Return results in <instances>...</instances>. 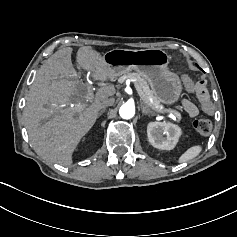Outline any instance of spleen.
<instances>
[{"instance_id": "spleen-1", "label": "spleen", "mask_w": 237, "mask_h": 237, "mask_svg": "<svg viewBox=\"0 0 237 237\" xmlns=\"http://www.w3.org/2000/svg\"><path fill=\"white\" fill-rule=\"evenodd\" d=\"M202 148L201 146L197 145V146H193L190 147L187 151H185L179 158V163H184L187 162L193 158H195L196 156L199 155V153L201 152Z\"/></svg>"}]
</instances>
